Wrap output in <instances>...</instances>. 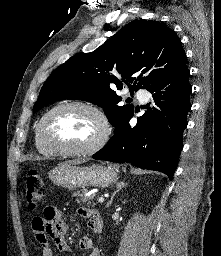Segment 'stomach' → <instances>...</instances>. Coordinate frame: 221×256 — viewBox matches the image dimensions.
<instances>
[{
    "label": "stomach",
    "mask_w": 221,
    "mask_h": 256,
    "mask_svg": "<svg viewBox=\"0 0 221 256\" xmlns=\"http://www.w3.org/2000/svg\"><path fill=\"white\" fill-rule=\"evenodd\" d=\"M50 180L66 188H107L118 180L116 171L111 167L93 165L82 167L76 164L63 163L49 173Z\"/></svg>",
    "instance_id": "0dacf381"
}]
</instances>
